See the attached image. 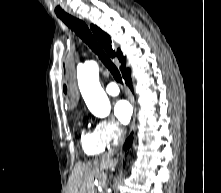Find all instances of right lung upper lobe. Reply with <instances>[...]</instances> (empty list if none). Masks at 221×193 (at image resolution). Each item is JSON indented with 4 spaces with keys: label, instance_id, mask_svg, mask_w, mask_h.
I'll use <instances>...</instances> for the list:
<instances>
[{
    "label": "right lung upper lobe",
    "instance_id": "cb5924a9",
    "mask_svg": "<svg viewBox=\"0 0 221 193\" xmlns=\"http://www.w3.org/2000/svg\"><path fill=\"white\" fill-rule=\"evenodd\" d=\"M91 30L93 31L96 39L103 46V48L106 50V52L111 57H115V55L118 57L119 61L122 63V66L120 67L122 74H125L129 69H126V67H125V58L123 57L120 49H118L117 53H115V51L112 49L111 39H110L109 35H107L105 32H103L97 26L91 25Z\"/></svg>",
    "mask_w": 221,
    "mask_h": 193
}]
</instances>
